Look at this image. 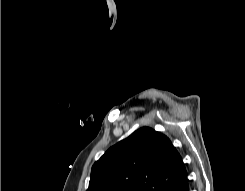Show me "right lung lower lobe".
Listing matches in <instances>:
<instances>
[{
    "instance_id": "1",
    "label": "right lung lower lobe",
    "mask_w": 245,
    "mask_h": 191,
    "mask_svg": "<svg viewBox=\"0 0 245 191\" xmlns=\"http://www.w3.org/2000/svg\"><path fill=\"white\" fill-rule=\"evenodd\" d=\"M165 191H189L187 176L165 189Z\"/></svg>"
}]
</instances>
